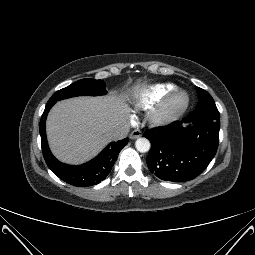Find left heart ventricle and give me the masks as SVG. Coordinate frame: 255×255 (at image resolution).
I'll list each match as a JSON object with an SVG mask.
<instances>
[{
	"instance_id": "b2bd125f",
	"label": "left heart ventricle",
	"mask_w": 255,
	"mask_h": 255,
	"mask_svg": "<svg viewBox=\"0 0 255 255\" xmlns=\"http://www.w3.org/2000/svg\"><path fill=\"white\" fill-rule=\"evenodd\" d=\"M181 101V98H178L177 100H176V103H179Z\"/></svg>"
}]
</instances>
